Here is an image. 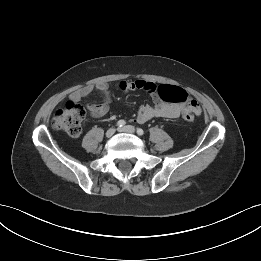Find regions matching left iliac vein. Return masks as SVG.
<instances>
[{"label":"left iliac vein","mask_w":261,"mask_h":261,"mask_svg":"<svg viewBox=\"0 0 261 261\" xmlns=\"http://www.w3.org/2000/svg\"><path fill=\"white\" fill-rule=\"evenodd\" d=\"M121 132H126V133H134L135 128L131 125L124 126L123 128L119 129Z\"/></svg>","instance_id":"4c4485c4"}]
</instances>
